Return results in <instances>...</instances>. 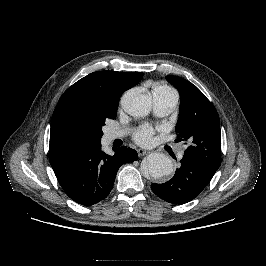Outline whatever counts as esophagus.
<instances>
[{
	"label": "esophagus",
	"mask_w": 266,
	"mask_h": 266,
	"mask_svg": "<svg viewBox=\"0 0 266 266\" xmlns=\"http://www.w3.org/2000/svg\"><path fill=\"white\" fill-rule=\"evenodd\" d=\"M137 153L141 157V156L147 155L149 153V151L140 148V149L137 150Z\"/></svg>",
	"instance_id": "obj_1"
}]
</instances>
